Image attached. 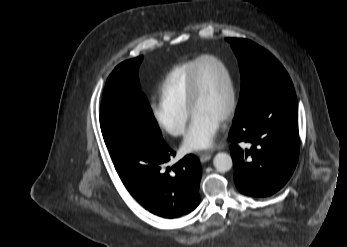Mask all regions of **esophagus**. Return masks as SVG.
I'll list each match as a JSON object with an SVG mask.
<instances>
[{
    "mask_svg": "<svg viewBox=\"0 0 347 247\" xmlns=\"http://www.w3.org/2000/svg\"><path fill=\"white\" fill-rule=\"evenodd\" d=\"M212 153L209 151L206 152H200L199 157L201 162H206L211 159Z\"/></svg>",
    "mask_w": 347,
    "mask_h": 247,
    "instance_id": "34e87169",
    "label": "esophagus"
}]
</instances>
